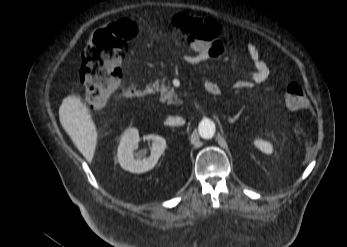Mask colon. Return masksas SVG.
<instances>
[{"label": "colon", "mask_w": 347, "mask_h": 247, "mask_svg": "<svg viewBox=\"0 0 347 247\" xmlns=\"http://www.w3.org/2000/svg\"><path fill=\"white\" fill-rule=\"evenodd\" d=\"M176 31L194 50L205 49L221 35L220 24L211 18L179 14L174 18ZM138 32L137 25L128 19H117L96 31L87 44L80 61V79L91 108L104 105L118 88L127 42ZM286 105L293 110L304 109L308 100L297 82L285 90Z\"/></svg>", "instance_id": "colon-1"}]
</instances>
